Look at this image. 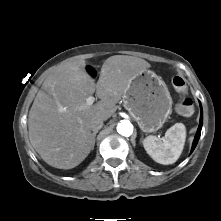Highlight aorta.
<instances>
[{
    "label": "aorta",
    "instance_id": "obj_1",
    "mask_svg": "<svg viewBox=\"0 0 221 221\" xmlns=\"http://www.w3.org/2000/svg\"><path fill=\"white\" fill-rule=\"evenodd\" d=\"M117 131L122 136L129 137L133 133V125L128 120H122L117 126Z\"/></svg>",
    "mask_w": 221,
    "mask_h": 221
}]
</instances>
